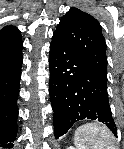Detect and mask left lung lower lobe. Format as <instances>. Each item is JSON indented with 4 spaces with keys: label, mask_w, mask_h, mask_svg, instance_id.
Instances as JSON below:
<instances>
[{
    "label": "left lung lower lobe",
    "mask_w": 124,
    "mask_h": 149,
    "mask_svg": "<svg viewBox=\"0 0 124 149\" xmlns=\"http://www.w3.org/2000/svg\"><path fill=\"white\" fill-rule=\"evenodd\" d=\"M49 68L56 139L83 119L104 123L116 136L117 127L107 94V76L92 67L56 32L50 44Z\"/></svg>",
    "instance_id": "obj_1"
}]
</instances>
